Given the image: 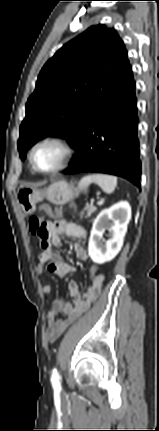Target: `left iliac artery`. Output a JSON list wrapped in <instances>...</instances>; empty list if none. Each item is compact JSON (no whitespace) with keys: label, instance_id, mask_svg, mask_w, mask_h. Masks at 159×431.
<instances>
[{"label":"left iliac artery","instance_id":"left-iliac-artery-1","mask_svg":"<svg viewBox=\"0 0 159 431\" xmlns=\"http://www.w3.org/2000/svg\"><path fill=\"white\" fill-rule=\"evenodd\" d=\"M59 378L60 376H59V373L57 372V369H54L51 377L52 386L54 388H60Z\"/></svg>","mask_w":159,"mask_h":431}]
</instances>
